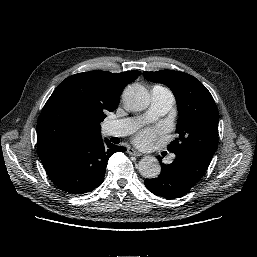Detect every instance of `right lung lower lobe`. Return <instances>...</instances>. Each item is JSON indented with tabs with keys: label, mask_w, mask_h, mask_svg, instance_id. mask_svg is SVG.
<instances>
[{
	"label": "right lung lower lobe",
	"mask_w": 257,
	"mask_h": 257,
	"mask_svg": "<svg viewBox=\"0 0 257 257\" xmlns=\"http://www.w3.org/2000/svg\"><path fill=\"white\" fill-rule=\"evenodd\" d=\"M125 150V147L115 146L108 139L99 138L61 146L40 159L59 189L82 194L102 184L109 157Z\"/></svg>",
	"instance_id": "98d812e1"
}]
</instances>
